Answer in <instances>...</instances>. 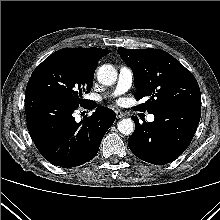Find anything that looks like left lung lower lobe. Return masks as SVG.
Segmentation results:
<instances>
[{
    "instance_id": "left-lung-lower-lobe-1",
    "label": "left lung lower lobe",
    "mask_w": 220,
    "mask_h": 220,
    "mask_svg": "<svg viewBox=\"0 0 220 220\" xmlns=\"http://www.w3.org/2000/svg\"><path fill=\"white\" fill-rule=\"evenodd\" d=\"M151 123L140 124L128 138L130 150L138 158L156 165L177 159L189 146L201 116V102H185L164 106L152 113Z\"/></svg>"
}]
</instances>
